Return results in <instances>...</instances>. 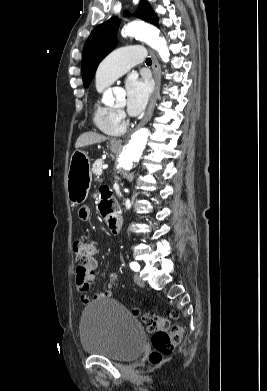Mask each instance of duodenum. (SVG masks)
Segmentation results:
<instances>
[{
	"label": "duodenum",
	"mask_w": 267,
	"mask_h": 391,
	"mask_svg": "<svg viewBox=\"0 0 267 391\" xmlns=\"http://www.w3.org/2000/svg\"><path fill=\"white\" fill-rule=\"evenodd\" d=\"M100 210L105 216L106 224L109 231L113 234L118 233L121 229L122 224L120 216L115 211L111 210L107 202H102L100 204Z\"/></svg>",
	"instance_id": "410a0bca"
}]
</instances>
